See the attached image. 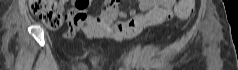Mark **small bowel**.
<instances>
[{"label":"small bowel","instance_id":"c3829d8e","mask_svg":"<svg viewBox=\"0 0 238 70\" xmlns=\"http://www.w3.org/2000/svg\"><path fill=\"white\" fill-rule=\"evenodd\" d=\"M64 7L67 0H61ZM179 1L175 0H139L138 7L142 13L132 9L128 12V22H119L117 18H125L127 13L120 11L117 3L105 4L104 11L99 16H89L86 13L91 0H79L74 8L68 11L70 16L69 30L64 34L68 40H73L79 34L89 39L114 38L123 40L140 33L144 28L160 24L170 18Z\"/></svg>","mask_w":238,"mask_h":70}]
</instances>
